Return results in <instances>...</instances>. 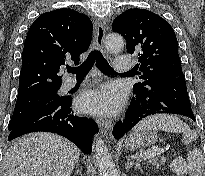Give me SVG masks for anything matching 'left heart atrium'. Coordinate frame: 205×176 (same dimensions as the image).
I'll return each mask as SVG.
<instances>
[{"label": "left heart atrium", "mask_w": 205, "mask_h": 176, "mask_svg": "<svg viewBox=\"0 0 205 176\" xmlns=\"http://www.w3.org/2000/svg\"><path fill=\"white\" fill-rule=\"evenodd\" d=\"M123 101L122 92L116 87H103L81 94L77 99V106L92 113H111L117 110Z\"/></svg>", "instance_id": "39dd6f15"}]
</instances>
